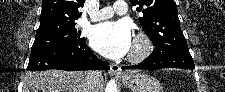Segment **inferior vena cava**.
Wrapping results in <instances>:
<instances>
[{
    "instance_id": "inferior-vena-cava-1",
    "label": "inferior vena cava",
    "mask_w": 225,
    "mask_h": 92,
    "mask_svg": "<svg viewBox=\"0 0 225 92\" xmlns=\"http://www.w3.org/2000/svg\"><path fill=\"white\" fill-rule=\"evenodd\" d=\"M100 76H101V72H95L90 76L88 82L91 87V92H97L96 86H97L98 79Z\"/></svg>"
}]
</instances>
